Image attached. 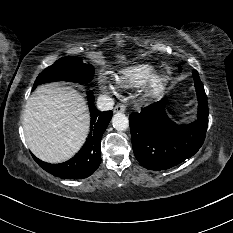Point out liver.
Listing matches in <instances>:
<instances>
[{
    "label": "liver",
    "instance_id": "obj_1",
    "mask_svg": "<svg viewBox=\"0 0 233 233\" xmlns=\"http://www.w3.org/2000/svg\"><path fill=\"white\" fill-rule=\"evenodd\" d=\"M89 127L86 102L69 86H39L26 103L23 129L27 145L45 162L61 163L73 157L84 144Z\"/></svg>",
    "mask_w": 233,
    "mask_h": 233
}]
</instances>
